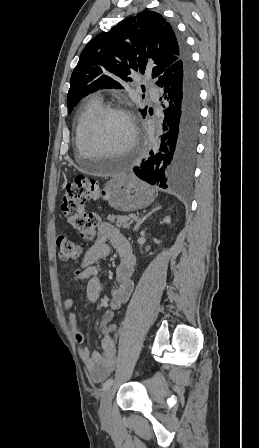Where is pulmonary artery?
Wrapping results in <instances>:
<instances>
[{"label": "pulmonary artery", "mask_w": 259, "mask_h": 448, "mask_svg": "<svg viewBox=\"0 0 259 448\" xmlns=\"http://www.w3.org/2000/svg\"><path fill=\"white\" fill-rule=\"evenodd\" d=\"M151 99H152L153 101H157V100H158V96H152Z\"/></svg>", "instance_id": "pulmonary-artery-1"}]
</instances>
